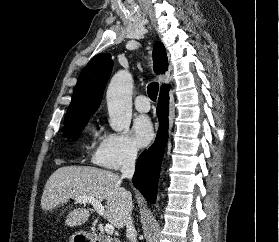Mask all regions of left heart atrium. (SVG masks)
Returning a JSON list of instances; mask_svg holds the SVG:
<instances>
[{
	"label": "left heart atrium",
	"mask_w": 279,
	"mask_h": 242,
	"mask_svg": "<svg viewBox=\"0 0 279 242\" xmlns=\"http://www.w3.org/2000/svg\"><path fill=\"white\" fill-rule=\"evenodd\" d=\"M154 135L153 125L149 117L139 116L133 125V139L138 147L148 145Z\"/></svg>",
	"instance_id": "left-heart-atrium-1"
}]
</instances>
